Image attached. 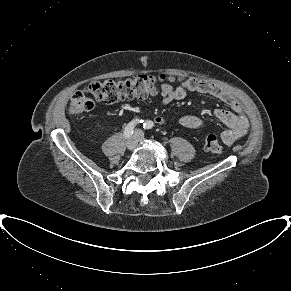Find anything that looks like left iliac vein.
I'll return each instance as SVG.
<instances>
[{
	"instance_id": "left-iliac-vein-1",
	"label": "left iliac vein",
	"mask_w": 291,
	"mask_h": 291,
	"mask_svg": "<svg viewBox=\"0 0 291 291\" xmlns=\"http://www.w3.org/2000/svg\"><path fill=\"white\" fill-rule=\"evenodd\" d=\"M137 134H138V140L143 141L144 138H143L142 134L140 132H137Z\"/></svg>"
}]
</instances>
